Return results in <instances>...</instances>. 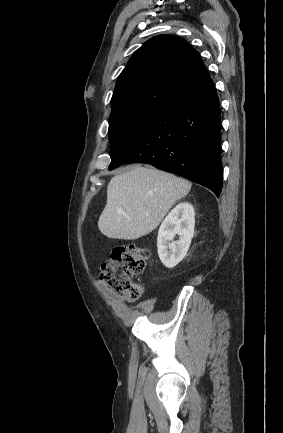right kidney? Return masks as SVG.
Wrapping results in <instances>:
<instances>
[{
	"instance_id": "1",
	"label": "right kidney",
	"mask_w": 283,
	"mask_h": 433,
	"mask_svg": "<svg viewBox=\"0 0 283 433\" xmlns=\"http://www.w3.org/2000/svg\"><path fill=\"white\" fill-rule=\"evenodd\" d=\"M195 211L188 202H182L173 208L162 222L157 247L161 262L167 268L175 267L185 256L194 235ZM178 241H173L175 235Z\"/></svg>"
}]
</instances>
